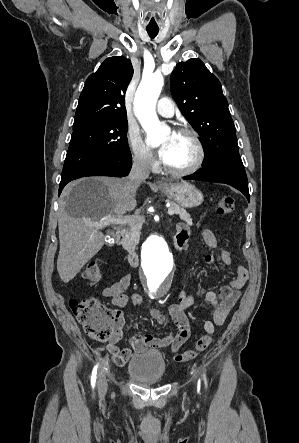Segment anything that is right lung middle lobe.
Here are the masks:
<instances>
[{
    "label": "right lung middle lobe",
    "mask_w": 299,
    "mask_h": 443,
    "mask_svg": "<svg viewBox=\"0 0 299 443\" xmlns=\"http://www.w3.org/2000/svg\"><path fill=\"white\" fill-rule=\"evenodd\" d=\"M127 119H103L73 126L61 180L105 161L130 159Z\"/></svg>",
    "instance_id": "right-lung-middle-lobe-1"
}]
</instances>
